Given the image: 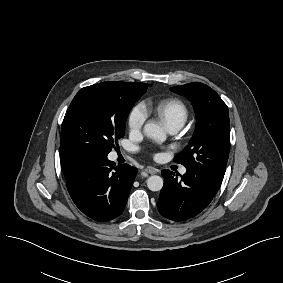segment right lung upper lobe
Returning <instances> with one entry per match:
<instances>
[{"label": "right lung upper lobe", "instance_id": "cb5924a9", "mask_svg": "<svg viewBox=\"0 0 283 283\" xmlns=\"http://www.w3.org/2000/svg\"><path fill=\"white\" fill-rule=\"evenodd\" d=\"M61 166L65 178L69 177L78 165L83 161L69 154L66 150L60 147Z\"/></svg>", "mask_w": 283, "mask_h": 283}]
</instances>
